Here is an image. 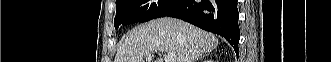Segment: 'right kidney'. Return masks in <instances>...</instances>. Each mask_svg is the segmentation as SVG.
I'll return each instance as SVG.
<instances>
[{"label": "right kidney", "instance_id": "1", "mask_svg": "<svg viewBox=\"0 0 331 62\" xmlns=\"http://www.w3.org/2000/svg\"><path fill=\"white\" fill-rule=\"evenodd\" d=\"M206 62H211V60H207Z\"/></svg>", "mask_w": 331, "mask_h": 62}]
</instances>
